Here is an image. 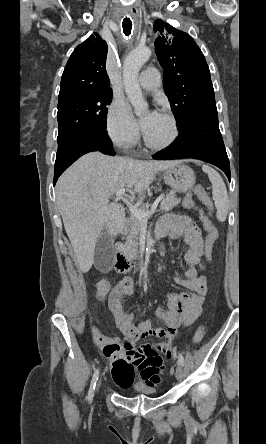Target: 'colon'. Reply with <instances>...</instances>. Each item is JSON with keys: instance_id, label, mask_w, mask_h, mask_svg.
<instances>
[{"instance_id": "1", "label": "colon", "mask_w": 266, "mask_h": 444, "mask_svg": "<svg viewBox=\"0 0 266 444\" xmlns=\"http://www.w3.org/2000/svg\"><path fill=\"white\" fill-rule=\"evenodd\" d=\"M193 196H197L205 205V207L207 209H211L212 205H211V201L204 189V187L198 185L195 186L192 191L186 195L185 199H184V204L186 207L188 208H193L195 207V201L193 199ZM200 215H201V220L203 222V226L206 230V237H205V241H204V247H203V255H202V259L199 263V269H203L205 267V265L211 260L212 258V251H213V245L217 239V229L215 227V225L213 224V222L210 220V218L201 210L200 211ZM130 289V283L127 280H123L121 282H119L112 290L110 297H109V306L111 307H115L118 304H120V302L122 301V299L125 297V295L127 294V292ZM206 326L202 325L200 326L197 331L195 332V334L193 335L192 339H191V344H197L199 343L205 333H206Z\"/></svg>"}]
</instances>
